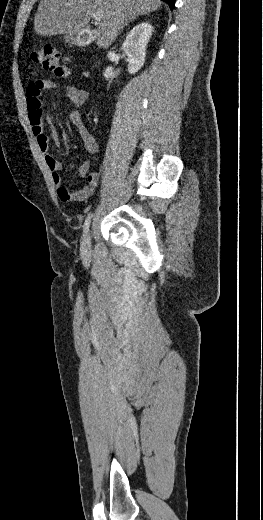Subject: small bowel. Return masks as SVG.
Returning a JSON list of instances; mask_svg holds the SVG:
<instances>
[{
    "label": "small bowel",
    "instance_id": "small-bowel-1",
    "mask_svg": "<svg viewBox=\"0 0 263 520\" xmlns=\"http://www.w3.org/2000/svg\"><path fill=\"white\" fill-rule=\"evenodd\" d=\"M55 88L61 89L76 107L84 105L89 98L87 91L72 85L59 84L52 80H34L30 82L26 88V101L30 126L33 135L36 138L39 150L43 154L44 162L51 172L52 181L57 187L59 198L64 202L86 201L95 192L99 184L100 174L98 172L88 174L90 163L89 161H85L79 167V175L87 178V185L77 191H71L63 185V179L60 174V171L62 170L61 162L49 153V136L44 132L43 128L44 122L49 123V116L42 108L41 96L43 91ZM69 119L77 128L86 150L91 154L95 153L97 150L96 139L85 126L80 113L78 111L71 112ZM50 137L56 145L60 144L58 134L54 130H51Z\"/></svg>",
    "mask_w": 263,
    "mask_h": 520
}]
</instances>
